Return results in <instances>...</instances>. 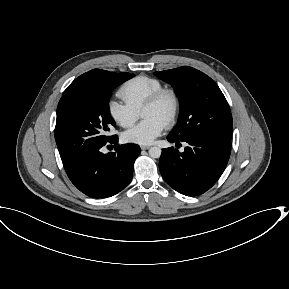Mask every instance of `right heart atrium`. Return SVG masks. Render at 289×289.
Returning <instances> with one entry per match:
<instances>
[{"mask_svg":"<svg viewBox=\"0 0 289 289\" xmlns=\"http://www.w3.org/2000/svg\"><path fill=\"white\" fill-rule=\"evenodd\" d=\"M108 112L112 120L123 128L131 127L138 119V112L126 103L110 100Z\"/></svg>","mask_w":289,"mask_h":289,"instance_id":"d8ad5b80","label":"right heart atrium"}]
</instances>
